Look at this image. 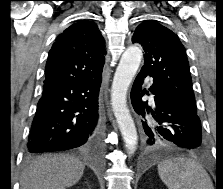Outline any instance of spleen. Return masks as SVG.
<instances>
[{"instance_id":"1","label":"spleen","mask_w":223,"mask_h":189,"mask_svg":"<svg viewBox=\"0 0 223 189\" xmlns=\"http://www.w3.org/2000/svg\"><path fill=\"white\" fill-rule=\"evenodd\" d=\"M158 174L168 189H213L207 172L192 159L165 160L158 165Z\"/></svg>"}]
</instances>
